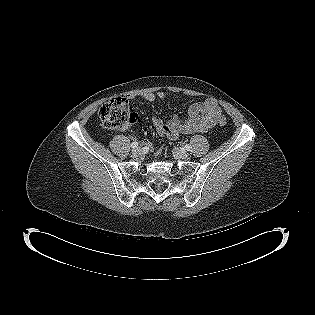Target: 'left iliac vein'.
<instances>
[{
  "label": "left iliac vein",
  "mask_w": 315,
  "mask_h": 315,
  "mask_svg": "<svg viewBox=\"0 0 315 315\" xmlns=\"http://www.w3.org/2000/svg\"><path fill=\"white\" fill-rule=\"evenodd\" d=\"M174 155L179 159H187L189 157V153L186 151H182L178 148L174 149Z\"/></svg>",
  "instance_id": "4c4485c4"
}]
</instances>
